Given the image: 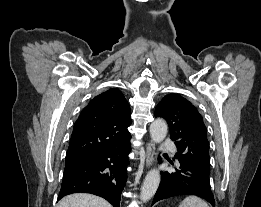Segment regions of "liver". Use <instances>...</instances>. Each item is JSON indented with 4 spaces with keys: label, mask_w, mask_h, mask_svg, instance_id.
<instances>
[{
    "label": "liver",
    "mask_w": 261,
    "mask_h": 207,
    "mask_svg": "<svg viewBox=\"0 0 261 207\" xmlns=\"http://www.w3.org/2000/svg\"><path fill=\"white\" fill-rule=\"evenodd\" d=\"M57 207H112L106 200L101 197L76 193L71 194L60 200Z\"/></svg>",
    "instance_id": "obj_1"
}]
</instances>
